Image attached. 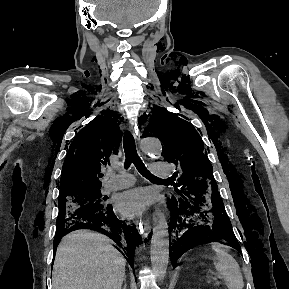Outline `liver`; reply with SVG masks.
Wrapping results in <instances>:
<instances>
[{"mask_svg": "<svg viewBox=\"0 0 289 289\" xmlns=\"http://www.w3.org/2000/svg\"><path fill=\"white\" fill-rule=\"evenodd\" d=\"M126 260L102 234L77 230L58 245L53 289H121Z\"/></svg>", "mask_w": 289, "mask_h": 289, "instance_id": "liver-1", "label": "liver"}]
</instances>
